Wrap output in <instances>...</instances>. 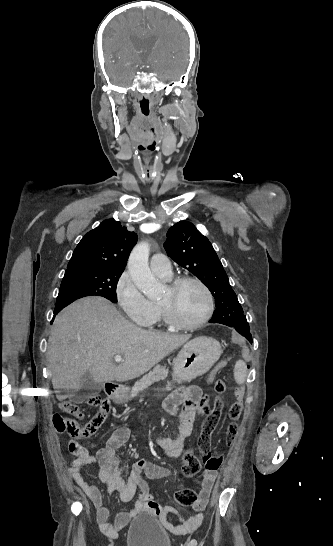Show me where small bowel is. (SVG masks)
<instances>
[{"instance_id": "small-bowel-1", "label": "small bowel", "mask_w": 333, "mask_h": 546, "mask_svg": "<svg viewBox=\"0 0 333 546\" xmlns=\"http://www.w3.org/2000/svg\"><path fill=\"white\" fill-rule=\"evenodd\" d=\"M232 339L236 348L241 349L244 361L250 360V347L245 345L240 332H234ZM245 345V346H244ZM230 356H225L214 362L210 368L209 380L205 382L207 387L213 385L216 380V373L225 372ZM201 389L197 386L180 388L170 394L164 401V408L170 414H175L180 405L183 409L179 414L178 434L176 438H156V444L170 458H178L186 445L187 439L193 431V422L197 405L201 400ZM129 437L126 428L117 429L105 442L103 447L97 448L92 454L90 448L94 445L85 446L76 440H69L67 443L68 452L74 456L70 462L69 473L86 493L95 508L96 521L102 533L107 537H115L118 532L131 520V518L142 512L154 514L163 526L171 533L185 535L194 532L201 526L204 519V509L208 503L213 484L216 480V471L205 470L201 478V490L198 502L194 505L195 514L184 518L179 515L177 509L171 505L160 507L150 493L149 487L143 478V473L151 478H161L168 475V471L158 465L146 461H138L130 468L123 465L116 456V450L122 446ZM97 464L100 467L99 477L111 495H117L122 502H129L135 498L129 510L119 512L113 521H109V510L104 506L101 492L89 481L83 473L87 466ZM178 485L182 484L179 479ZM169 514L178 515L180 523L174 525L168 519Z\"/></svg>"}]
</instances>
